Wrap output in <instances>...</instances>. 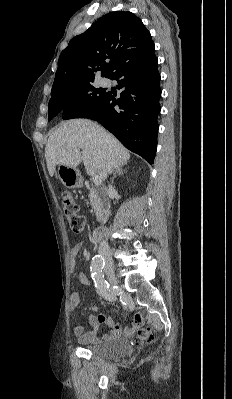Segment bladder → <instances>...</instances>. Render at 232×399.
I'll return each mask as SVG.
<instances>
[{
	"label": "bladder",
	"mask_w": 232,
	"mask_h": 399,
	"mask_svg": "<svg viewBox=\"0 0 232 399\" xmlns=\"http://www.w3.org/2000/svg\"><path fill=\"white\" fill-rule=\"evenodd\" d=\"M100 358L107 360H117L125 357L130 351V344L124 338H113L103 343H96L84 347Z\"/></svg>",
	"instance_id": "1"
}]
</instances>
